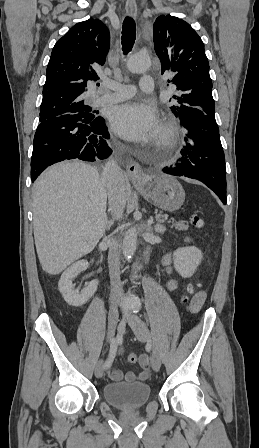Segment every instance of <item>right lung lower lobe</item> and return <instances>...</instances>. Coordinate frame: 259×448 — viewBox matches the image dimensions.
Returning a JSON list of instances; mask_svg holds the SVG:
<instances>
[{"instance_id": "98d812e1", "label": "right lung lower lobe", "mask_w": 259, "mask_h": 448, "mask_svg": "<svg viewBox=\"0 0 259 448\" xmlns=\"http://www.w3.org/2000/svg\"><path fill=\"white\" fill-rule=\"evenodd\" d=\"M105 120L85 123L74 115H62L41 122L37 127L31 158V180L50 165L65 159L95 161L108 158L112 149Z\"/></svg>"}]
</instances>
